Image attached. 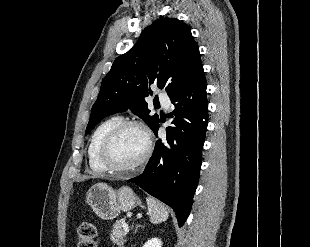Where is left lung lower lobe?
<instances>
[{
    "instance_id": "left-lung-lower-lobe-1",
    "label": "left lung lower lobe",
    "mask_w": 310,
    "mask_h": 247,
    "mask_svg": "<svg viewBox=\"0 0 310 247\" xmlns=\"http://www.w3.org/2000/svg\"><path fill=\"white\" fill-rule=\"evenodd\" d=\"M206 78L203 66L169 97L174 104L173 126L156 142L144 172L129 181L175 211L181 227L189 216L198 184L202 148L208 125ZM159 123L152 129L157 136Z\"/></svg>"
}]
</instances>
